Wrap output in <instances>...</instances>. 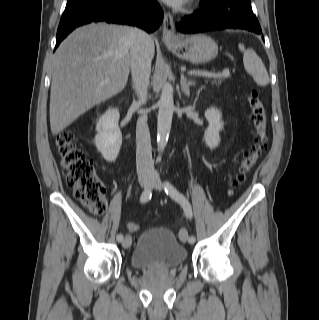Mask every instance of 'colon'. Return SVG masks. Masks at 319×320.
I'll list each match as a JSON object with an SVG mask.
<instances>
[{
    "label": "colon",
    "mask_w": 319,
    "mask_h": 320,
    "mask_svg": "<svg viewBox=\"0 0 319 320\" xmlns=\"http://www.w3.org/2000/svg\"><path fill=\"white\" fill-rule=\"evenodd\" d=\"M250 118L254 127L252 146L239 163L232 184H241L246 175L256 165L267 147L266 109L257 91L248 95ZM63 174L67 184L72 187L74 196L93 214L104 213L107 205L106 189L99 178L93 161L75 144L73 134L63 131L56 138ZM128 230L137 232L139 225L129 223Z\"/></svg>",
    "instance_id": "obj_1"
}]
</instances>
